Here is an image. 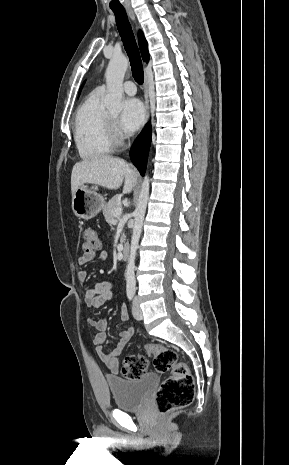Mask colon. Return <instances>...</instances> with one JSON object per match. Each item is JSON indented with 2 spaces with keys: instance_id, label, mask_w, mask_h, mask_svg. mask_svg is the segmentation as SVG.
Returning a JSON list of instances; mask_svg holds the SVG:
<instances>
[{
  "instance_id": "obj_1",
  "label": "colon",
  "mask_w": 289,
  "mask_h": 465,
  "mask_svg": "<svg viewBox=\"0 0 289 465\" xmlns=\"http://www.w3.org/2000/svg\"><path fill=\"white\" fill-rule=\"evenodd\" d=\"M102 247L98 231L94 227L82 230V248L84 252H96ZM146 351L153 356V365L157 372H170L159 386L155 403L161 414L169 413L191 404L195 388L189 366L179 360L175 350L156 344L145 345ZM147 360L140 354L128 355L121 366V374L127 379H138L146 374Z\"/></svg>"
}]
</instances>
